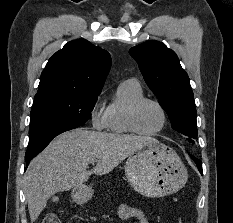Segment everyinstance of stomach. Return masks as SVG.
<instances>
[{
    "label": "stomach",
    "mask_w": 233,
    "mask_h": 223,
    "mask_svg": "<svg viewBox=\"0 0 233 223\" xmlns=\"http://www.w3.org/2000/svg\"><path fill=\"white\" fill-rule=\"evenodd\" d=\"M125 175L134 191L145 197H162L178 191L188 181V171L178 153L164 143H145L128 155ZM92 185L73 187L71 197L78 205L92 199Z\"/></svg>",
    "instance_id": "stomach-1"
}]
</instances>
